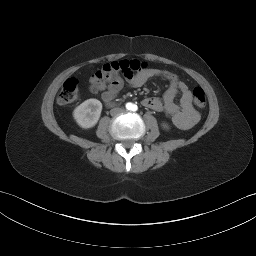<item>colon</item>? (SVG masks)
<instances>
[{"label":"colon","instance_id":"1","mask_svg":"<svg viewBox=\"0 0 256 256\" xmlns=\"http://www.w3.org/2000/svg\"><path fill=\"white\" fill-rule=\"evenodd\" d=\"M147 70L145 62L137 60L114 61L105 64L96 71L90 79L92 90H97L101 85L116 78H131ZM79 96V85L75 78H69L64 83L58 95L59 104H69L75 102ZM193 103L198 109L206 106V96L204 91L197 87L193 91Z\"/></svg>","mask_w":256,"mask_h":256}]
</instances>
